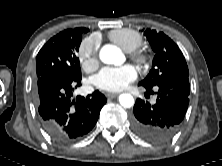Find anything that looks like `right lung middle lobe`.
<instances>
[{
	"label": "right lung middle lobe",
	"mask_w": 222,
	"mask_h": 166,
	"mask_svg": "<svg viewBox=\"0 0 222 166\" xmlns=\"http://www.w3.org/2000/svg\"><path fill=\"white\" fill-rule=\"evenodd\" d=\"M82 28L67 29L52 37L36 57V76L51 71H63L81 78V69L76 52L82 41Z\"/></svg>",
	"instance_id": "dd1d6c3e"
}]
</instances>
